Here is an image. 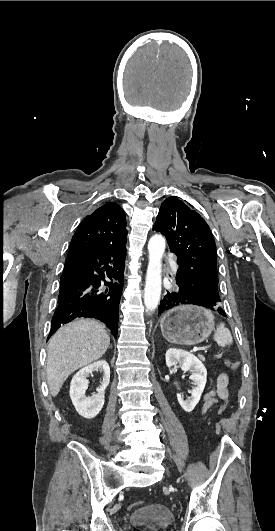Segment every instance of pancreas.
I'll return each instance as SVG.
<instances>
[{
    "mask_svg": "<svg viewBox=\"0 0 275 531\" xmlns=\"http://www.w3.org/2000/svg\"><path fill=\"white\" fill-rule=\"evenodd\" d=\"M199 359H201V361H205V357H203V355H199Z\"/></svg>",
    "mask_w": 275,
    "mask_h": 531,
    "instance_id": "cf45deb5",
    "label": "pancreas"
}]
</instances>
